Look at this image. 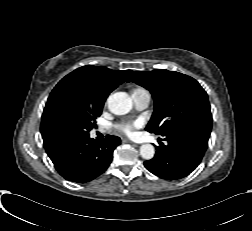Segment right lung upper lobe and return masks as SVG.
I'll use <instances>...</instances> for the list:
<instances>
[{"label": "right lung upper lobe", "instance_id": "obj_1", "mask_svg": "<svg viewBox=\"0 0 252 231\" xmlns=\"http://www.w3.org/2000/svg\"><path fill=\"white\" fill-rule=\"evenodd\" d=\"M131 70L114 71L103 66L87 65L65 76L55 89L66 87L77 90L89 100L104 102L110 92L122 84ZM55 149L46 150L48 155Z\"/></svg>", "mask_w": 252, "mask_h": 231}]
</instances>
